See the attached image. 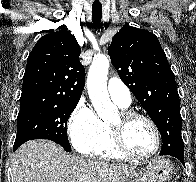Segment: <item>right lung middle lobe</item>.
Segmentation results:
<instances>
[{"label":"right lung middle lobe","mask_w":196,"mask_h":182,"mask_svg":"<svg viewBox=\"0 0 196 182\" xmlns=\"http://www.w3.org/2000/svg\"><path fill=\"white\" fill-rule=\"evenodd\" d=\"M78 102L35 103L21 106L14 149L28 140L49 139L70 152L67 121Z\"/></svg>","instance_id":"right-lung-middle-lobe-1"}]
</instances>
